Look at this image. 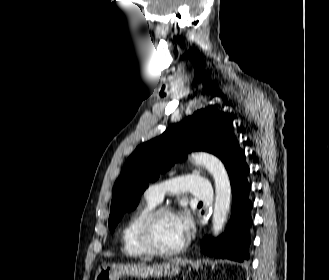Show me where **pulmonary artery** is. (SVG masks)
<instances>
[{
  "label": "pulmonary artery",
  "mask_w": 329,
  "mask_h": 280,
  "mask_svg": "<svg viewBox=\"0 0 329 280\" xmlns=\"http://www.w3.org/2000/svg\"><path fill=\"white\" fill-rule=\"evenodd\" d=\"M183 192H189L203 201H210L213 196L211 183L197 174H187L166 182L150 185L145 191V196L158 203L166 193Z\"/></svg>",
  "instance_id": "pulmonary-artery-1"
}]
</instances>
